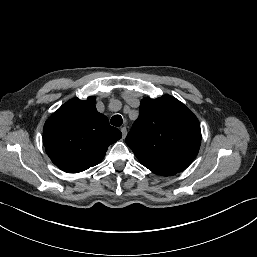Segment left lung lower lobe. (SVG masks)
I'll use <instances>...</instances> for the list:
<instances>
[{
  "instance_id": "left-lung-lower-lobe-1",
  "label": "left lung lower lobe",
  "mask_w": 257,
  "mask_h": 257,
  "mask_svg": "<svg viewBox=\"0 0 257 257\" xmlns=\"http://www.w3.org/2000/svg\"><path fill=\"white\" fill-rule=\"evenodd\" d=\"M163 175H172V174H163Z\"/></svg>"
}]
</instances>
